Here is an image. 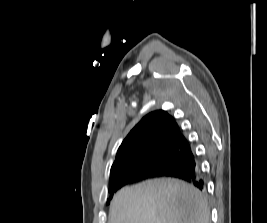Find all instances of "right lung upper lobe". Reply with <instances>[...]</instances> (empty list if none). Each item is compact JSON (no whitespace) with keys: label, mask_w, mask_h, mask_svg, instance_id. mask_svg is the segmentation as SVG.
Instances as JSON below:
<instances>
[{"label":"right lung upper lobe","mask_w":267,"mask_h":223,"mask_svg":"<svg viewBox=\"0 0 267 223\" xmlns=\"http://www.w3.org/2000/svg\"><path fill=\"white\" fill-rule=\"evenodd\" d=\"M167 146L180 147L187 152L190 145L175 119L167 112L158 110L147 114L120 145L110 179L125 173L126 164L153 157Z\"/></svg>","instance_id":"right-lung-upper-lobe-1"}]
</instances>
